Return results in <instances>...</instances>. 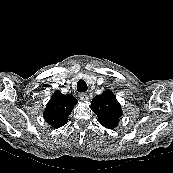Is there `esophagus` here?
Instances as JSON below:
<instances>
[{
	"label": "esophagus",
	"mask_w": 173,
	"mask_h": 173,
	"mask_svg": "<svg viewBox=\"0 0 173 173\" xmlns=\"http://www.w3.org/2000/svg\"><path fill=\"white\" fill-rule=\"evenodd\" d=\"M79 97L82 101H87L89 99V95L87 93H81Z\"/></svg>",
	"instance_id": "obj_1"
}]
</instances>
